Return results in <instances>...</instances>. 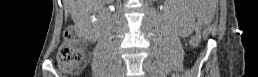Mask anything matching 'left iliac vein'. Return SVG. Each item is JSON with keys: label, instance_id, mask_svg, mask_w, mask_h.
Returning <instances> with one entry per match:
<instances>
[{"label": "left iliac vein", "instance_id": "obj_1", "mask_svg": "<svg viewBox=\"0 0 258 77\" xmlns=\"http://www.w3.org/2000/svg\"><path fill=\"white\" fill-rule=\"evenodd\" d=\"M143 67L152 77H163V71L149 58L143 61Z\"/></svg>", "mask_w": 258, "mask_h": 77}]
</instances>
